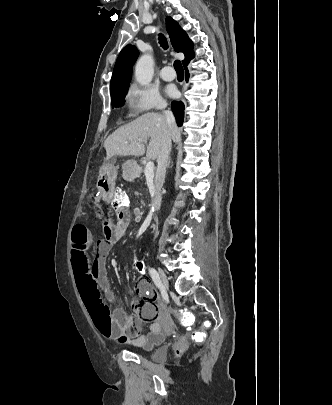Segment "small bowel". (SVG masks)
Segmentation results:
<instances>
[{"label": "small bowel", "instance_id": "c3829d8e", "mask_svg": "<svg viewBox=\"0 0 332 405\" xmlns=\"http://www.w3.org/2000/svg\"><path fill=\"white\" fill-rule=\"evenodd\" d=\"M123 167L131 170L138 169L135 160H127ZM118 169V165L111 160L99 166L100 174L96 185L98 192L95 199L99 216H102L100 211L102 204L112 203L114 197L112 183L116 181L115 174ZM114 213L115 221H105L103 224L104 237L97 243V255L94 260H91L89 255L94 244V238L89 229L84 225H75L72 229L71 267L76 279L79 302L85 305L91 325L95 326L97 332L104 338L119 344L153 349L155 344H163L161 334L166 319V309L146 279L141 278L134 284L133 313H127L122 309L112 311L113 294L106 275V257L113 245L123 237L132 218L129 208H125L124 212ZM111 263L114 264V260ZM101 290L105 292L109 301H104ZM146 322L150 323L149 328L141 334Z\"/></svg>", "mask_w": 332, "mask_h": 405}]
</instances>
